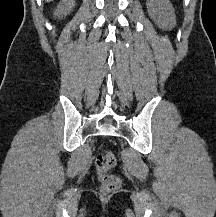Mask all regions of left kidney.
Listing matches in <instances>:
<instances>
[{"mask_svg":"<svg viewBox=\"0 0 216 217\" xmlns=\"http://www.w3.org/2000/svg\"><path fill=\"white\" fill-rule=\"evenodd\" d=\"M149 16L160 28L171 29L175 26L174 8L169 0H147Z\"/></svg>","mask_w":216,"mask_h":217,"instance_id":"5707ae66","label":"left kidney"}]
</instances>
